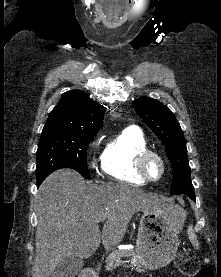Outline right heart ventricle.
Instances as JSON below:
<instances>
[{"instance_id": "obj_1", "label": "right heart ventricle", "mask_w": 221, "mask_h": 277, "mask_svg": "<svg viewBox=\"0 0 221 277\" xmlns=\"http://www.w3.org/2000/svg\"><path fill=\"white\" fill-rule=\"evenodd\" d=\"M149 149L148 141L137 127H129L111 138L102 154V169L110 178L142 185L146 181L136 170L138 155Z\"/></svg>"}]
</instances>
